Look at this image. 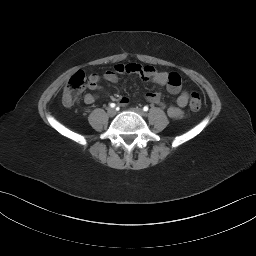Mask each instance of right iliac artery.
<instances>
[{
	"label": "right iliac artery",
	"mask_w": 256,
	"mask_h": 256,
	"mask_svg": "<svg viewBox=\"0 0 256 256\" xmlns=\"http://www.w3.org/2000/svg\"><path fill=\"white\" fill-rule=\"evenodd\" d=\"M115 106H116L115 103H110L111 108H114Z\"/></svg>",
	"instance_id": "right-iliac-artery-1"
}]
</instances>
